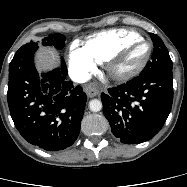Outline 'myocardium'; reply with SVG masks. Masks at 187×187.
Here are the masks:
<instances>
[{"instance_id": "1", "label": "myocardium", "mask_w": 187, "mask_h": 187, "mask_svg": "<svg viewBox=\"0 0 187 187\" xmlns=\"http://www.w3.org/2000/svg\"><path fill=\"white\" fill-rule=\"evenodd\" d=\"M139 42H145L148 45V51L146 56L144 57L143 61L134 69L127 71V72H123V73H119L115 70V65L125 56V54L127 53V51L133 47L135 44L139 43ZM152 43L150 40L144 38V37H140L138 39L129 41L127 43H125L124 45H122L121 47H119L117 50H115L104 62V66L106 71L108 72V74L110 75L111 78H113L116 81H127L130 80L132 78H134L135 76H137L138 74H140L143 69L146 67V65L148 64L151 54H152Z\"/></svg>"}]
</instances>
